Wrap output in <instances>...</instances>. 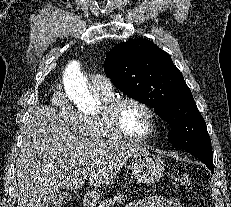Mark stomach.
Here are the masks:
<instances>
[{
	"label": "stomach",
	"mask_w": 231,
	"mask_h": 207,
	"mask_svg": "<svg viewBox=\"0 0 231 207\" xmlns=\"http://www.w3.org/2000/svg\"><path fill=\"white\" fill-rule=\"evenodd\" d=\"M131 171L140 184L156 183L165 171V164L159 155L142 149L131 155Z\"/></svg>",
	"instance_id": "obj_1"
}]
</instances>
